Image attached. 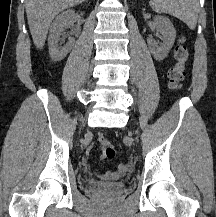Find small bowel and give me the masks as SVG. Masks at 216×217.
<instances>
[{"mask_svg": "<svg viewBox=\"0 0 216 217\" xmlns=\"http://www.w3.org/2000/svg\"><path fill=\"white\" fill-rule=\"evenodd\" d=\"M90 153V152H89ZM123 171V169L121 167L117 168L116 170L114 171H111V172H108L106 174H103L101 177L104 179V180H113L115 179L119 173H121Z\"/></svg>", "mask_w": 216, "mask_h": 217, "instance_id": "1", "label": "small bowel"}]
</instances>
